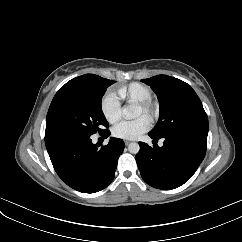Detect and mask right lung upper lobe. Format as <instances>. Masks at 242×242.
Here are the masks:
<instances>
[{"instance_id":"obj_1","label":"right lung upper lobe","mask_w":242,"mask_h":242,"mask_svg":"<svg viewBox=\"0 0 242 242\" xmlns=\"http://www.w3.org/2000/svg\"><path fill=\"white\" fill-rule=\"evenodd\" d=\"M104 78L93 75V74H85L79 77H76L69 82H67L64 86H81V87H90L97 83L103 81Z\"/></svg>"}]
</instances>
